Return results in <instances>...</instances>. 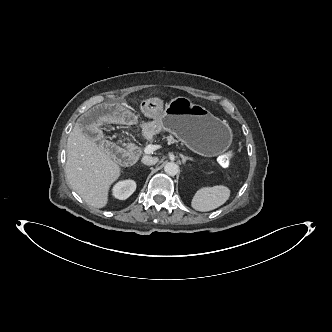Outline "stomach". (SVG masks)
I'll list each match as a JSON object with an SVG mask.
<instances>
[{
  "label": "stomach",
  "mask_w": 332,
  "mask_h": 332,
  "mask_svg": "<svg viewBox=\"0 0 332 332\" xmlns=\"http://www.w3.org/2000/svg\"><path fill=\"white\" fill-rule=\"evenodd\" d=\"M159 123L191 150L205 156L225 151L232 142L227 124L186 97L172 99L161 114Z\"/></svg>",
  "instance_id": "obj_1"
}]
</instances>
